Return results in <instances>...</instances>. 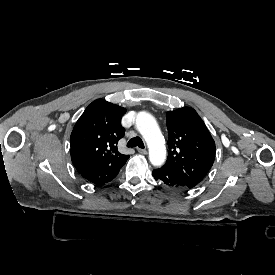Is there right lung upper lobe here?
<instances>
[{
  "mask_svg": "<svg viewBox=\"0 0 275 275\" xmlns=\"http://www.w3.org/2000/svg\"><path fill=\"white\" fill-rule=\"evenodd\" d=\"M126 109L97 99L78 119L71 133V160L79 173L103 166L122 167L129 155L118 152L124 136L121 118Z\"/></svg>",
  "mask_w": 275,
  "mask_h": 275,
  "instance_id": "1",
  "label": "right lung upper lobe"
}]
</instances>
